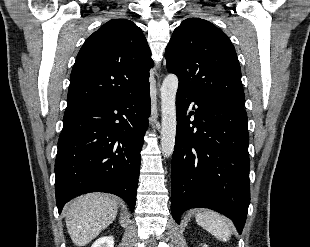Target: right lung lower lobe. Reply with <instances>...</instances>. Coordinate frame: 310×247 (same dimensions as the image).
Instances as JSON below:
<instances>
[{
  "mask_svg": "<svg viewBox=\"0 0 310 247\" xmlns=\"http://www.w3.org/2000/svg\"><path fill=\"white\" fill-rule=\"evenodd\" d=\"M150 105L148 87L125 97L67 106L55 161L59 213L66 202L88 192L118 195L134 211Z\"/></svg>",
  "mask_w": 310,
  "mask_h": 247,
  "instance_id": "right-lung-lower-lobe-1",
  "label": "right lung lower lobe"
}]
</instances>
